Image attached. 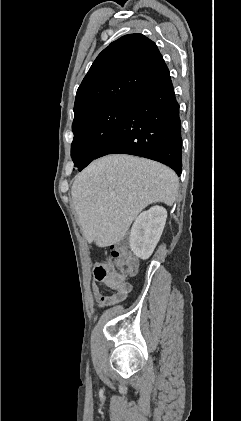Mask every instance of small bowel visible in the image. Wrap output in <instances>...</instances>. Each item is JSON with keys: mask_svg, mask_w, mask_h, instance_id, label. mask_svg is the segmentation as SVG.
I'll return each instance as SVG.
<instances>
[{"mask_svg": "<svg viewBox=\"0 0 241 421\" xmlns=\"http://www.w3.org/2000/svg\"><path fill=\"white\" fill-rule=\"evenodd\" d=\"M106 286L113 290L112 294H103L99 287L95 283H91V292L98 306H112L121 303L128 295L131 286L128 287H114L107 282H104Z\"/></svg>", "mask_w": 241, "mask_h": 421, "instance_id": "c3829d8e", "label": "small bowel"}]
</instances>
